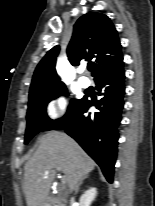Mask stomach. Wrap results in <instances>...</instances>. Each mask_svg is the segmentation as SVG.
Masks as SVG:
<instances>
[{
  "label": "stomach",
  "mask_w": 155,
  "mask_h": 206,
  "mask_svg": "<svg viewBox=\"0 0 155 206\" xmlns=\"http://www.w3.org/2000/svg\"><path fill=\"white\" fill-rule=\"evenodd\" d=\"M41 206H49V204L44 202Z\"/></svg>",
  "instance_id": "stomach-1"
}]
</instances>
